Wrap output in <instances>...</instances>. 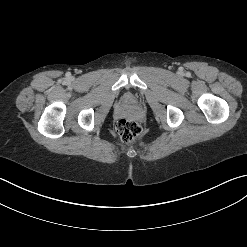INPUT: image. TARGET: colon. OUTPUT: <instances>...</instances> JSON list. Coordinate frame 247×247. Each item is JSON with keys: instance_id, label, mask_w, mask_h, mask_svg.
<instances>
[{"instance_id": "5ec220e1", "label": "colon", "mask_w": 247, "mask_h": 247, "mask_svg": "<svg viewBox=\"0 0 247 247\" xmlns=\"http://www.w3.org/2000/svg\"><path fill=\"white\" fill-rule=\"evenodd\" d=\"M116 131L123 142H133L142 132L139 122L132 118H122L116 124Z\"/></svg>"}]
</instances>
